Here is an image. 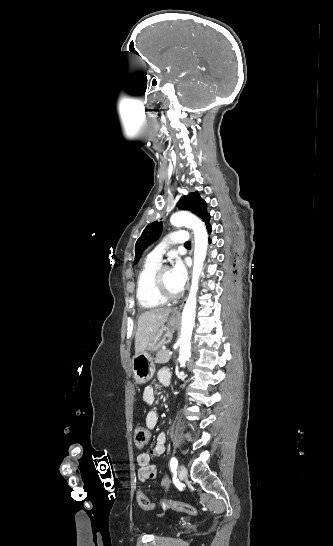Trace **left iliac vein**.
Returning <instances> with one entry per match:
<instances>
[{
	"instance_id": "left-iliac-vein-1",
	"label": "left iliac vein",
	"mask_w": 333,
	"mask_h": 546,
	"mask_svg": "<svg viewBox=\"0 0 333 546\" xmlns=\"http://www.w3.org/2000/svg\"><path fill=\"white\" fill-rule=\"evenodd\" d=\"M178 474H179V478H180L181 480H183V479L186 478V476H187V469H186V467H185L183 464H181V465L179 466V468H178Z\"/></svg>"
}]
</instances>
